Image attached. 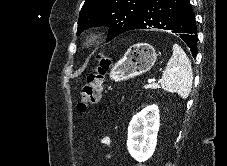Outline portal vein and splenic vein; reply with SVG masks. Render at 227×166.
<instances>
[{
    "instance_id": "1",
    "label": "portal vein and splenic vein",
    "mask_w": 227,
    "mask_h": 166,
    "mask_svg": "<svg viewBox=\"0 0 227 166\" xmlns=\"http://www.w3.org/2000/svg\"><path fill=\"white\" fill-rule=\"evenodd\" d=\"M154 81H155V79H150V80H149V83H152V82H154ZM153 85L157 86L158 84H153Z\"/></svg>"
}]
</instances>
